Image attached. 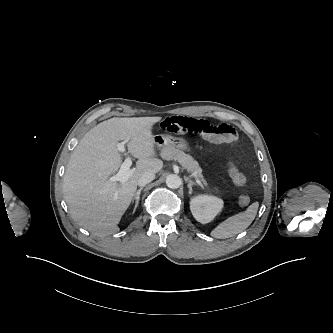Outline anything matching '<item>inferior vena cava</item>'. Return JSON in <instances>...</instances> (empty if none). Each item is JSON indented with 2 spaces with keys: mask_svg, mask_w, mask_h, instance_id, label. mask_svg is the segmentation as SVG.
Masks as SVG:
<instances>
[{
  "mask_svg": "<svg viewBox=\"0 0 333 333\" xmlns=\"http://www.w3.org/2000/svg\"><path fill=\"white\" fill-rule=\"evenodd\" d=\"M155 178V173L153 172H145L138 180V186L143 187L146 184L153 181Z\"/></svg>",
  "mask_w": 333,
  "mask_h": 333,
  "instance_id": "inferior-vena-cava-1",
  "label": "inferior vena cava"
}]
</instances>
